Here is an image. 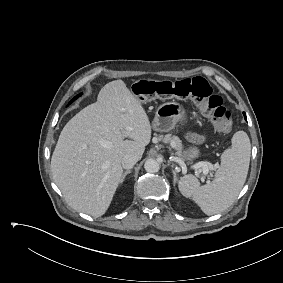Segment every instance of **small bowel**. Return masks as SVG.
Instances as JSON below:
<instances>
[{"label":"small bowel","instance_id":"c3829d8e","mask_svg":"<svg viewBox=\"0 0 283 283\" xmlns=\"http://www.w3.org/2000/svg\"><path fill=\"white\" fill-rule=\"evenodd\" d=\"M191 138H192V140L195 141V142H198V141L201 140V137L198 136V135H192Z\"/></svg>","mask_w":283,"mask_h":283}]
</instances>
